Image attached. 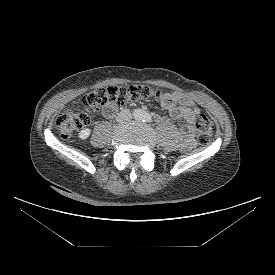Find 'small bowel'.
I'll return each mask as SVG.
<instances>
[{
  "label": "small bowel",
  "mask_w": 275,
  "mask_h": 275,
  "mask_svg": "<svg viewBox=\"0 0 275 275\" xmlns=\"http://www.w3.org/2000/svg\"><path fill=\"white\" fill-rule=\"evenodd\" d=\"M160 103L173 119L184 120V125L179 128L180 148L183 151L190 150L194 146L195 120L201 113L200 108L193 99L176 91L163 93ZM117 109L116 103H109L103 106L102 114L111 118Z\"/></svg>",
  "instance_id": "small-bowel-1"
}]
</instances>
